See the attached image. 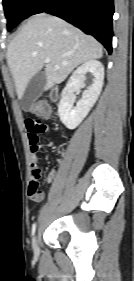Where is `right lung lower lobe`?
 <instances>
[{"label":"right lung lower lobe","instance_id":"right-lung-lower-lobe-1","mask_svg":"<svg viewBox=\"0 0 134 281\" xmlns=\"http://www.w3.org/2000/svg\"><path fill=\"white\" fill-rule=\"evenodd\" d=\"M46 12L73 24L112 52L113 0H37L29 16Z\"/></svg>","mask_w":134,"mask_h":281}]
</instances>
